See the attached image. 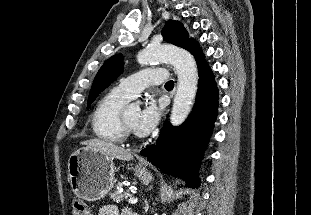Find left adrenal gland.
<instances>
[{
    "label": "left adrenal gland",
    "instance_id": "1",
    "mask_svg": "<svg viewBox=\"0 0 311 215\" xmlns=\"http://www.w3.org/2000/svg\"><path fill=\"white\" fill-rule=\"evenodd\" d=\"M148 209H149V204L147 201H145V207H144L145 212H147Z\"/></svg>",
    "mask_w": 311,
    "mask_h": 215
}]
</instances>
